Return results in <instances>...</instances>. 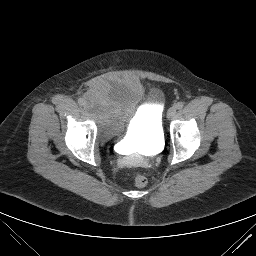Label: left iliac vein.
Instances as JSON below:
<instances>
[{
	"label": "left iliac vein",
	"instance_id": "left-iliac-vein-1",
	"mask_svg": "<svg viewBox=\"0 0 256 256\" xmlns=\"http://www.w3.org/2000/svg\"><path fill=\"white\" fill-rule=\"evenodd\" d=\"M176 113V107L172 106L167 111V118H172Z\"/></svg>",
	"mask_w": 256,
	"mask_h": 256
}]
</instances>
